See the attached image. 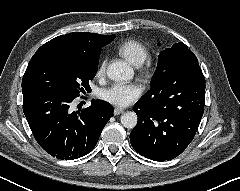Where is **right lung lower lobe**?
I'll use <instances>...</instances> for the list:
<instances>
[{
  "instance_id": "1",
  "label": "right lung lower lobe",
  "mask_w": 240,
  "mask_h": 191,
  "mask_svg": "<svg viewBox=\"0 0 240 191\" xmlns=\"http://www.w3.org/2000/svg\"><path fill=\"white\" fill-rule=\"evenodd\" d=\"M23 91V111L38 144L61 160L88 154L113 116L110 105L92 101L79 111L71 109L74 98L40 89Z\"/></svg>"
}]
</instances>
